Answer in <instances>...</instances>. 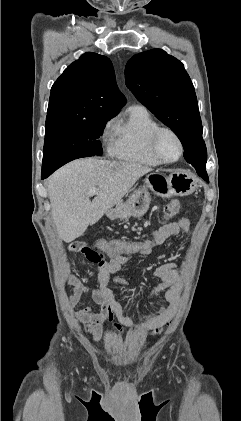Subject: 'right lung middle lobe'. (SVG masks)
<instances>
[{
  "instance_id": "dd1d6c3e",
  "label": "right lung middle lobe",
  "mask_w": 241,
  "mask_h": 421,
  "mask_svg": "<svg viewBox=\"0 0 241 421\" xmlns=\"http://www.w3.org/2000/svg\"><path fill=\"white\" fill-rule=\"evenodd\" d=\"M113 116L78 117L48 114L42 169H58L65 163L102 154L101 142L106 122Z\"/></svg>"
}]
</instances>
